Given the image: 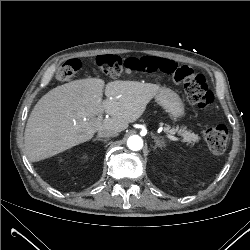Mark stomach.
<instances>
[{"instance_id":"obj_1","label":"stomach","mask_w":250,"mask_h":250,"mask_svg":"<svg viewBox=\"0 0 250 250\" xmlns=\"http://www.w3.org/2000/svg\"><path fill=\"white\" fill-rule=\"evenodd\" d=\"M155 99L174 120H178L185 115L184 104L174 91L168 88H161L155 95Z\"/></svg>"}]
</instances>
